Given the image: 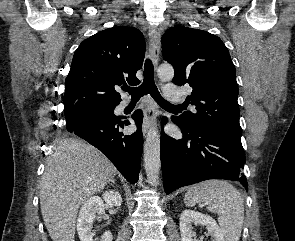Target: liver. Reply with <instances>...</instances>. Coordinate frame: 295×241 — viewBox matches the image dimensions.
<instances>
[{
  "label": "liver",
  "instance_id": "6515ba94",
  "mask_svg": "<svg viewBox=\"0 0 295 241\" xmlns=\"http://www.w3.org/2000/svg\"><path fill=\"white\" fill-rule=\"evenodd\" d=\"M114 165L82 140L64 139L51 153L40 181V205L53 241H74L79 207L104 189Z\"/></svg>",
  "mask_w": 295,
  "mask_h": 241
}]
</instances>
